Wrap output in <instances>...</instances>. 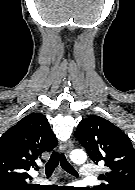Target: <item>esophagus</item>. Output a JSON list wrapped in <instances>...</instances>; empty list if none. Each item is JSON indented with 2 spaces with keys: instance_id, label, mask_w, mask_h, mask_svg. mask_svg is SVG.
<instances>
[{
  "instance_id": "1",
  "label": "esophagus",
  "mask_w": 135,
  "mask_h": 190,
  "mask_svg": "<svg viewBox=\"0 0 135 190\" xmlns=\"http://www.w3.org/2000/svg\"><path fill=\"white\" fill-rule=\"evenodd\" d=\"M72 148H73V143H72L71 140H69V141H67V142L64 143V145H63V151H64V153H65V155L67 157L69 156Z\"/></svg>"
}]
</instances>
